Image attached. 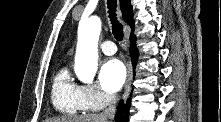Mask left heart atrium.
Returning <instances> with one entry per match:
<instances>
[{"mask_svg": "<svg viewBox=\"0 0 221 122\" xmlns=\"http://www.w3.org/2000/svg\"><path fill=\"white\" fill-rule=\"evenodd\" d=\"M126 74V68L119 59H108L100 68V85L106 92L115 93L122 87Z\"/></svg>", "mask_w": 221, "mask_h": 122, "instance_id": "obj_1", "label": "left heart atrium"}]
</instances>
